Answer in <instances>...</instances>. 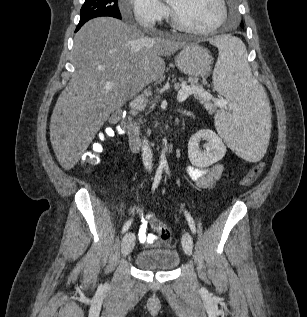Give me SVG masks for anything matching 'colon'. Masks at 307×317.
I'll list each match as a JSON object with an SVG mask.
<instances>
[{
    "instance_id": "colon-1",
    "label": "colon",
    "mask_w": 307,
    "mask_h": 317,
    "mask_svg": "<svg viewBox=\"0 0 307 317\" xmlns=\"http://www.w3.org/2000/svg\"><path fill=\"white\" fill-rule=\"evenodd\" d=\"M127 131V123L124 119L118 120L115 124L107 127L98 136L97 141L93 142L89 148L83 153L82 162L86 165L93 166L96 165L100 160V155L103 152L102 141L104 137H115L125 135ZM265 169V162L256 163L250 171L241 179L240 186L249 187L251 186L260 174ZM147 221L150 223L151 227L157 233L159 239L163 242H168L171 237L169 228L156 219L152 214H148L146 217Z\"/></svg>"
}]
</instances>
